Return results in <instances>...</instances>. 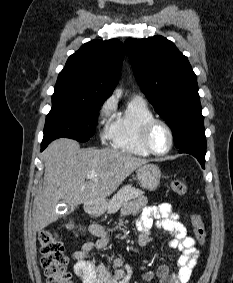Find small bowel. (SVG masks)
Masks as SVG:
<instances>
[{"instance_id":"small-bowel-1","label":"small bowel","mask_w":233,"mask_h":283,"mask_svg":"<svg viewBox=\"0 0 233 283\" xmlns=\"http://www.w3.org/2000/svg\"><path fill=\"white\" fill-rule=\"evenodd\" d=\"M124 214H138L136 229L138 231L137 243L147 246L151 242L149 232L153 227L162 230L168 238V246L179 252L177 271L171 273L166 265H161L156 272L143 274L145 281H150L154 275L159 278V283H187L196 265L199 252L195 247V239L187 236L185 226L181 223L179 215L173 211L169 203L148 206L144 197H138L128 204ZM96 241L84 243L80 250L72 255L73 269L81 283H130L133 268H124L121 259L114 260L115 271L110 273L106 267L98 263L91 255L94 249L102 250L109 244V233L100 225L93 224L89 228Z\"/></svg>"}]
</instances>
